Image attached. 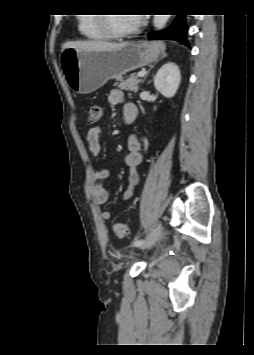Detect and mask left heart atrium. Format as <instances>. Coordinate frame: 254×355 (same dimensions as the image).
<instances>
[{"label":"left heart atrium","mask_w":254,"mask_h":355,"mask_svg":"<svg viewBox=\"0 0 254 355\" xmlns=\"http://www.w3.org/2000/svg\"><path fill=\"white\" fill-rule=\"evenodd\" d=\"M143 19V15H136L135 17V21L137 24H140L142 22Z\"/></svg>","instance_id":"39dd6f15"}]
</instances>
